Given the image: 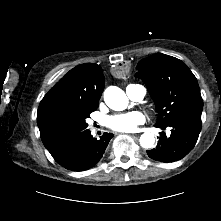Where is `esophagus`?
Masks as SVG:
<instances>
[{
	"label": "esophagus",
	"mask_w": 221,
	"mask_h": 221,
	"mask_svg": "<svg viewBox=\"0 0 221 221\" xmlns=\"http://www.w3.org/2000/svg\"><path fill=\"white\" fill-rule=\"evenodd\" d=\"M115 134L118 135L119 133H115ZM120 134H121V132H120ZM122 134H124V133H122ZM125 134H128V133H125ZM130 136H135V135L134 134H130Z\"/></svg>",
	"instance_id": "34e87169"
}]
</instances>
